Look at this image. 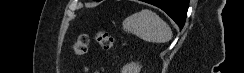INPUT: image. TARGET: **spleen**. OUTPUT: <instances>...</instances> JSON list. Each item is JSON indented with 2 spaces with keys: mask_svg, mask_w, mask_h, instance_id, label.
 Masks as SVG:
<instances>
[{
  "mask_svg": "<svg viewBox=\"0 0 244 73\" xmlns=\"http://www.w3.org/2000/svg\"><path fill=\"white\" fill-rule=\"evenodd\" d=\"M123 30L151 43H166L172 38L170 26L155 12L143 9L128 16L122 23Z\"/></svg>",
  "mask_w": 244,
  "mask_h": 73,
  "instance_id": "spleen-1",
  "label": "spleen"
}]
</instances>
